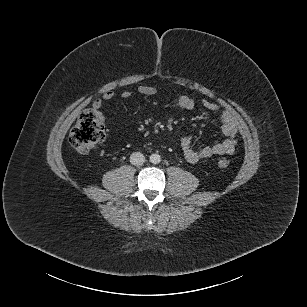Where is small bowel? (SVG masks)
<instances>
[{
  "label": "small bowel",
  "instance_id": "obj_1",
  "mask_svg": "<svg viewBox=\"0 0 307 307\" xmlns=\"http://www.w3.org/2000/svg\"><path fill=\"white\" fill-rule=\"evenodd\" d=\"M137 92L144 96H152L157 93V89L152 85L143 84L138 87ZM133 94L134 92L132 90H125L121 93V97L128 99L132 97ZM114 97V92L108 91L103 94L101 99L94 100L92 104V108L97 111L98 116L103 122H105V117L102 113L103 104L104 102L113 100ZM177 104L183 110H193L196 106L195 100L187 95L180 96L177 100ZM201 105L209 112L218 113L217 121L220 124L225 139L213 145L195 149L193 148L191 136L188 135L182 138L181 148L186 160L190 163H196L200 160L210 158L213 155H231L235 151L237 145L236 136L238 128L232 116L226 112H219V106L210 100H202Z\"/></svg>",
  "mask_w": 307,
  "mask_h": 307
}]
</instances>
